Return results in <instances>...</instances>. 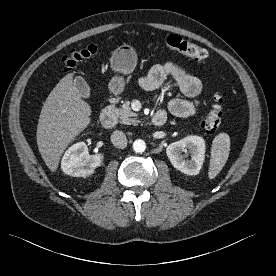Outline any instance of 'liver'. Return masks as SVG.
I'll return each mask as SVG.
<instances>
[{"instance_id":"liver-1","label":"liver","mask_w":276,"mask_h":276,"mask_svg":"<svg viewBox=\"0 0 276 276\" xmlns=\"http://www.w3.org/2000/svg\"><path fill=\"white\" fill-rule=\"evenodd\" d=\"M91 108L73 83V73L64 76L48 95L37 125L38 150L50 171L58 168L61 155L90 123Z\"/></svg>"}]
</instances>
